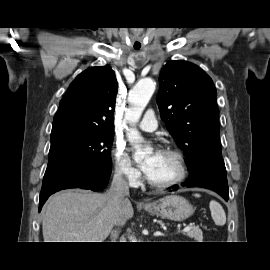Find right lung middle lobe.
<instances>
[{"label": "right lung middle lobe", "instance_id": "dd1d6c3e", "mask_svg": "<svg viewBox=\"0 0 270 270\" xmlns=\"http://www.w3.org/2000/svg\"><path fill=\"white\" fill-rule=\"evenodd\" d=\"M113 130L60 127L52 129L46 171L74 160H84L92 170L111 171Z\"/></svg>", "mask_w": 270, "mask_h": 270}]
</instances>
